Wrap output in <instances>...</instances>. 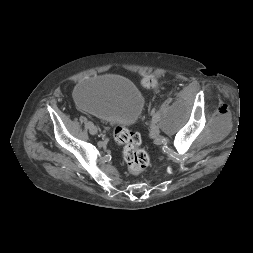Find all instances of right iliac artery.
<instances>
[{"label":"right iliac artery","mask_w":253,"mask_h":253,"mask_svg":"<svg viewBox=\"0 0 253 253\" xmlns=\"http://www.w3.org/2000/svg\"><path fill=\"white\" fill-rule=\"evenodd\" d=\"M86 124H87L88 128H89L91 125H93L92 122H90V121H86Z\"/></svg>","instance_id":"82829eb1"}]
</instances>
